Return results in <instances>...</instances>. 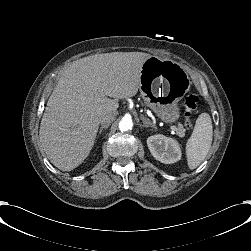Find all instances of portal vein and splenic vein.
I'll return each mask as SVG.
<instances>
[{
	"label": "portal vein and splenic vein",
	"mask_w": 251,
	"mask_h": 251,
	"mask_svg": "<svg viewBox=\"0 0 251 251\" xmlns=\"http://www.w3.org/2000/svg\"><path fill=\"white\" fill-rule=\"evenodd\" d=\"M105 101H106V98H104L102 96H99V95L95 98L96 103H102V102H105ZM168 128L173 130V131L177 130V127L175 125H172V124H169Z\"/></svg>",
	"instance_id": "1"
}]
</instances>
